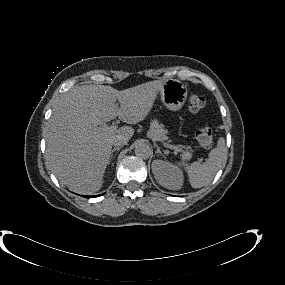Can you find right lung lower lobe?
<instances>
[{
	"mask_svg": "<svg viewBox=\"0 0 285 285\" xmlns=\"http://www.w3.org/2000/svg\"><path fill=\"white\" fill-rule=\"evenodd\" d=\"M84 197H88L89 198V197H92V196H84ZM94 197H96V196H94Z\"/></svg>",
	"mask_w": 285,
	"mask_h": 285,
	"instance_id": "1",
	"label": "right lung lower lobe"
}]
</instances>
